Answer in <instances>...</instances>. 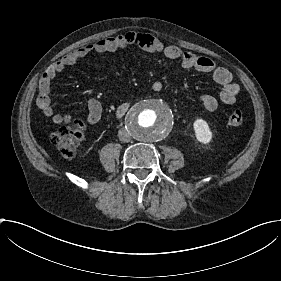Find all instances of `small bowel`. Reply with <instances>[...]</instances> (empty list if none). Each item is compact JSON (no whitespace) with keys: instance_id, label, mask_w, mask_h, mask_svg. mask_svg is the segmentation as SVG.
Returning <instances> with one entry per match:
<instances>
[{"instance_id":"small-bowel-1","label":"small bowel","mask_w":281,"mask_h":281,"mask_svg":"<svg viewBox=\"0 0 281 281\" xmlns=\"http://www.w3.org/2000/svg\"><path fill=\"white\" fill-rule=\"evenodd\" d=\"M127 47H138L145 51L158 52L166 59L180 61L181 66L185 69L211 73L222 88L219 96L209 93L199 95V102L204 109L208 111L216 110L220 102L226 105L234 104L239 92V85L226 68L217 65L209 58L199 57L178 46L165 44L162 39L155 38L148 33L131 31L124 35L110 36L97 42L88 43L77 48L49 68L43 74L39 83L37 105L42 114L49 117L54 125L70 124L72 121L70 115L54 113L55 107L50 102L52 80L67 66L74 65L89 54L111 53ZM151 88L160 92L163 89V83L159 80L153 81ZM87 106L89 114L86 121L89 125H94L101 119L102 104L98 99L90 98Z\"/></svg>"}]
</instances>
